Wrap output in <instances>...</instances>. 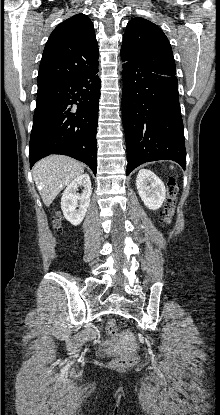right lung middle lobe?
I'll use <instances>...</instances> for the list:
<instances>
[{
  "label": "right lung middle lobe",
  "instance_id": "right-lung-middle-lobe-1",
  "mask_svg": "<svg viewBox=\"0 0 220 415\" xmlns=\"http://www.w3.org/2000/svg\"><path fill=\"white\" fill-rule=\"evenodd\" d=\"M49 88H50V87H38L37 94H38V93H42V92H44V91L48 90Z\"/></svg>",
  "mask_w": 220,
  "mask_h": 415
}]
</instances>
